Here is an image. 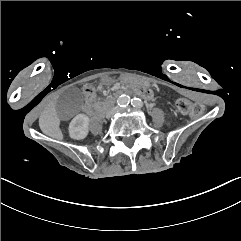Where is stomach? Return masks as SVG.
Returning a JSON list of instances; mask_svg holds the SVG:
<instances>
[{"mask_svg": "<svg viewBox=\"0 0 241 241\" xmlns=\"http://www.w3.org/2000/svg\"><path fill=\"white\" fill-rule=\"evenodd\" d=\"M133 82L136 83V84H140V85H145V84H147V83L141 82V81H133Z\"/></svg>", "mask_w": 241, "mask_h": 241, "instance_id": "stomach-1", "label": "stomach"}]
</instances>
